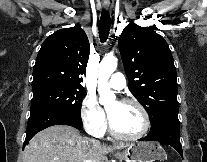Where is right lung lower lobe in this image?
Here are the masks:
<instances>
[{
	"label": "right lung lower lobe",
	"mask_w": 207,
	"mask_h": 162,
	"mask_svg": "<svg viewBox=\"0 0 207 162\" xmlns=\"http://www.w3.org/2000/svg\"><path fill=\"white\" fill-rule=\"evenodd\" d=\"M53 125H69L80 129L82 121L81 118L56 108H38L33 110L28 119L23 148L36 133Z\"/></svg>",
	"instance_id": "obj_1"
}]
</instances>
